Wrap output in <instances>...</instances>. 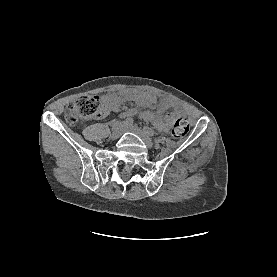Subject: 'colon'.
Masks as SVG:
<instances>
[{"mask_svg": "<svg viewBox=\"0 0 277 277\" xmlns=\"http://www.w3.org/2000/svg\"><path fill=\"white\" fill-rule=\"evenodd\" d=\"M101 105L97 97L85 95L71 102L66 112V119L69 122H77L80 120H90L100 117ZM189 131V123L186 119H177L172 128V135L175 138H182Z\"/></svg>", "mask_w": 277, "mask_h": 277, "instance_id": "1", "label": "colon"}]
</instances>
